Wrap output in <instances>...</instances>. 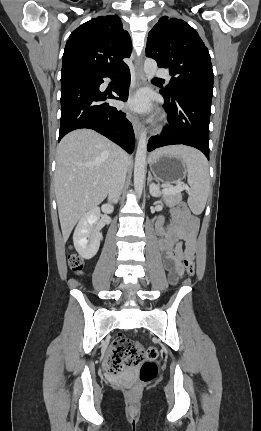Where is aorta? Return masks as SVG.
<instances>
[{
    "instance_id": "762f6f07",
    "label": "aorta",
    "mask_w": 261,
    "mask_h": 431,
    "mask_svg": "<svg viewBox=\"0 0 261 431\" xmlns=\"http://www.w3.org/2000/svg\"><path fill=\"white\" fill-rule=\"evenodd\" d=\"M157 71V63L154 59H146L144 62V72L147 79L150 81L154 78ZM147 153V136L146 131H143L139 137L138 147L135 156L134 167V188L136 194L140 197L143 190L145 179V164Z\"/></svg>"
}]
</instances>
